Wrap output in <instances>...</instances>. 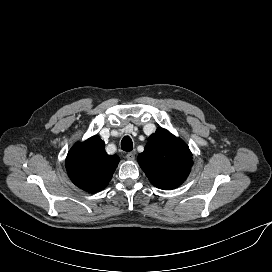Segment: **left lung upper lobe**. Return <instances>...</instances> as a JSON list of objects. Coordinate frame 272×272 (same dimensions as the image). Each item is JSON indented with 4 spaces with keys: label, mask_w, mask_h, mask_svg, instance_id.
<instances>
[{
    "label": "left lung upper lobe",
    "mask_w": 272,
    "mask_h": 272,
    "mask_svg": "<svg viewBox=\"0 0 272 272\" xmlns=\"http://www.w3.org/2000/svg\"><path fill=\"white\" fill-rule=\"evenodd\" d=\"M138 163L151 183L160 189H174L190 173L192 154L189 147L163 128L149 137Z\"/></svg>",
    "instance_id": "obj_1"
}]
</instances>
